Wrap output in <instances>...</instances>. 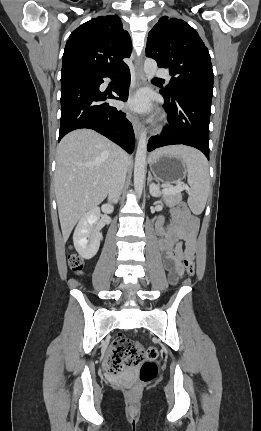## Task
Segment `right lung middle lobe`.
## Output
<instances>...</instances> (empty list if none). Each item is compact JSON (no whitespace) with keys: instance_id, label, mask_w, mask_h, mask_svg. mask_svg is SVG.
Wrapping results in <instances>:
<instances>
[{"instance_id":"dd1d6c3e","label":"right lung middle lobe","mask_w":261,"mask_h":431,"mask_svg":"<svg viewBox=\"0 0 261 431\" xmlns=\"http://www.w3.org/2000/svg\"><path fill=\"white\" fill-rule=\"evenodd\" d=\"M79 73V72H84V71H72V72H68V73ZM64 74H67V73H64ZM64 74H62V75H64Z\"/></svg>"}]
</instances>
